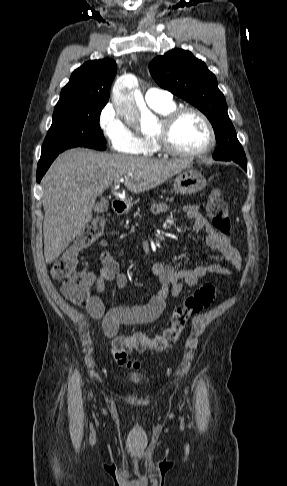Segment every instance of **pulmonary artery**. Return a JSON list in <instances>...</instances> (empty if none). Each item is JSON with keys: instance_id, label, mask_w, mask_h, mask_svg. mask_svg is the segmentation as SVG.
<instances>
[{"instance_id": "pulmonary-artery-1", "label": "pulmonary artery", "mask_w": 287, "mask_h": 486, "mask_svg": "<svg viewBox=\"0 0 287 486\" xmlns=\"http://www.w3.org/2000/svg\"><path fill=\"white\" fill-rule=\"evenodd\" d=\"M145 100L151 107H161L172 103L170 92L158 88H150L145 93Z\"/></svg>"}]
</instances>
